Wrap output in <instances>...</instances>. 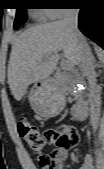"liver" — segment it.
<instances>
[{
  "instance_id": "6515ba94",
  "label": "liver",
  "mask_w": 104,
  "mask_h": 169,
  "mask_svg": "<svg viewBox=\"0 0 104 169\" xmlns=\"http://www.w3.org/2000/svg\"><path fill=\"white\" fill-rule=\"evenodd\" d=\"M61 51L73 65L80 64L78 43L62 20L33 26L14 38L7 75L15 100L54 72Z\"/></svg>"
}]
</instances>
